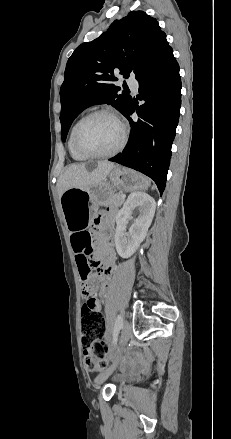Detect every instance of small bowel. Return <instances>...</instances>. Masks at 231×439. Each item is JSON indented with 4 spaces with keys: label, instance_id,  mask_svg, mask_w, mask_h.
I'll return each mask as SVG.
<instances>
[{
    "label": "small bowel",
    "instance_id": "obj_1",
    "mask_svg": "<svg viewBox=\"0 0 231 439\" xmlns=\"http://www.w3.org/2000/svg\"><path fill=\"white\" fill-rule=\"evenodd\" d=\"M110 218L111 215L109 214L108 219ZM110 234H112L111 229ZM70 241L79 274L90 263L93 256L100 262L98 267L99 287H94L93 291L85 289L84 285L82 288L83 294L88 297L83 306L87 304L91 309L100 311L101 303L99 297L107 289L114 268L115 251L113 245L104 236H99L94 244L91 233L86 230L73 231Z\"/></svg>",
    "mask_w": 231,
    "mask_h": 439
}]
</instances>
